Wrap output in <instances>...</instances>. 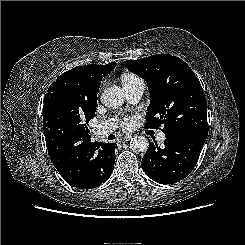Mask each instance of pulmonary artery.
I'll use <instances>...</instances> for the list:
<instances>
[{
	"instance_id": "pulmonary-artery-1",
	"label": "pulmonary artery",
	"mask_w": 245,
	"mask_h": 245,
	"mask_svg": "<svg viewBox=\"0 0 245 245\" xmlns=\"http://www.w3.org/2000/svg\"><path fill=\"white\" fill-rule=\"evenodd\" d=\"M145 84L140 79L133 83L130 86L125 87L126 97L130 103H137L144 92ZM116 128V123L113 119L104 121L96 126L94 132L97 137H105L112 133L114 129ZM159 141H163L165 139V134L163 132H159L157 136Z\"/></svg>"
}]
</instances>
